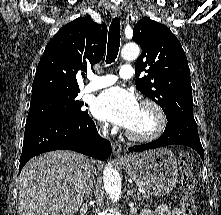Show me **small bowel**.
<instances>
[{
	"label": "small bowel",
	"mask_w": 221,
	"mask_h": 215,
	"mask_svg": "<svg viewBox=\"0 0 221 215\" xmlns=\"http://www.w3.org/2000/svg\"><path fill=\"white\" fill-rule=\"evenodd\" d=\"M141 215H184V212L179 208L169 209L166 206H160L155 210L145 209Z\"/></svg>",
	"instance_id": "small-bowel-1"
}]
</instances>
